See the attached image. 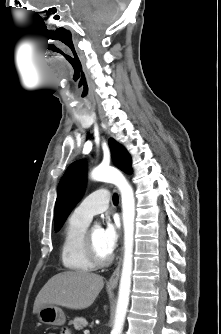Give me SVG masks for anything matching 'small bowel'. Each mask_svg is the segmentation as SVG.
<instances>
[{
  "instance_id": "c3829d8e",
  "label": "small bowel",
  "mask_w": 221,
  "mask_h": 334,
  "mask_svg": "<svg viewBox=\"0 0 221 334\" xmlns=\"http://www.w3.org/2000/svg\"><path fill=\"white\" fill-rule=\"evenodd\" d=\"M63 334H70L69 332H64Z\"/></svg>"
}]
</instances>
